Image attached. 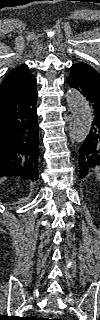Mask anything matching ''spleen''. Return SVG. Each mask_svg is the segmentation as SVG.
I'll use <instances>...</instances> for the list:
<instances>
[{
    "mask_svg": "<svg viewBox=\"0 0 100 320\" xmlns=\"http://www.w3.org/2000/svg\"><path fill=\"white\" fill-rule=\"evenodd\" d=\"M94 172H95L96 177H98L99 176V167L98 166L94 168Z\"/></svg>",
    "mask_w": 100,
    "mask_h": 320,
    "instance_id": "3e777b00",
    "label": "spleen"
}]
</instances>
